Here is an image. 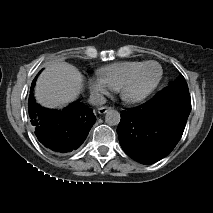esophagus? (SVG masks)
<instances>
[{
	"instance_id": "obj_1",
	"label": "esophagus",
	"mask_w": 213,
	"mask_h": 213,
	"mask_svg": "<svg viewBox=\"0 0 213 213\" xmlns=\"http://www.w3.org/2000/svg\"><path fill=\"white\" fill-rule=\"evenodd\" d=\"M109 109H110V107H107V106L100 107V108H98V113L105 114Z\"/></svg>"
}]
</instances>
